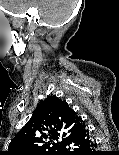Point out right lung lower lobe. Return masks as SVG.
I'll use <instances>...</instances> for the list:
<instances>
[{
    "mask_svg": "<svg viewBox=\"0 0 119 155\" xmlns=\"http://www.w3.org/2000/svg\"><path fill=\"white\" fill-rule=\"evenodd\" d=\"M97 144L93 142L89 131L84 128L72 136L57 155H98Z\"/></svg>",
    "mask_w": 119,
    "mask_h": 155,
    "instance_id": "right-lung-lower-lobe-1",
    "label": "right lung lower lobe"
}]
</instances>
